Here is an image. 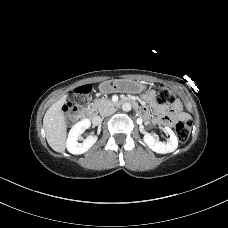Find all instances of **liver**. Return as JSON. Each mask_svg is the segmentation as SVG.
I'll return each mask as SVG.
<instances>
[{"mask_svg": "<svg viewBox=\"0 0 228 228\" xmlns=\"http://www.w3.org/2000/svg\"><path fill=\"white\" fill-rule=\"evenodd\" d=\"M67 96L64 95L55 102L45 113L43 127L49 146L56 152L63 153L66 148V122L61 110L66 102Z\"/></svg>", "mask_w": 228, "mask_h": 228, "instance_id": "6515ba94", "label": "liver"}]
</instances>
